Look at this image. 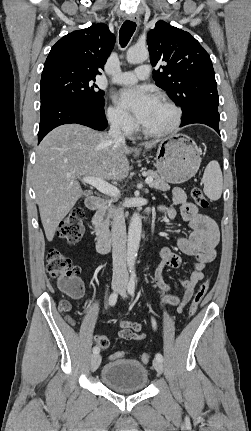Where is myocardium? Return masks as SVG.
Listing matches in <instances>:
<instances>
[{"instance_id":"f54148a6","label":"myocardium","mask_w":251,"mask_h":431,"mask_svg":"<svg viewBox=\"0 0 251 431\" xmlns=\"http://www.w3.org/2000/svg\"><path fill=\"white\" fill-rule=\"evenodd\" d=\"M158 100L167 105L172 110L173 119L168 127L159 131L148 130L143 125H141L140 131L142 132V134L151 138H162L174 133L178 129L182 121V110L174 101L163 95L159 96Z\"/></svg>"}]
</instances>
